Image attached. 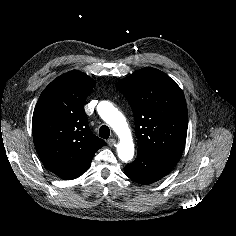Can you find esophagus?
<instances>
[{
  "label": "esophagus",
  "instance_id": "34e87169",
  "mask_svg": "<svg viewBox=\"0 0 236 236\" xmlns=\"http://www.w3.org/2000/svg\"><path fill=\"white\" fill-rule=\"evenodd\" d=\"M116 143H117V141H116V139H114V138H111V139L108 140V145H109L110 147L115 146Z\"/></svg>",
  "mask_w": 236,
  "mask_h": 236
}]
</instances>
